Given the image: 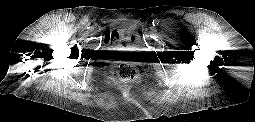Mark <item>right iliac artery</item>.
<instances>
[{"label": "right iliac artery", "mask_w": 255, "mask_h": 122, "mask_svg": "<svg viewBox=\"0 0 255 122\" xmlns=\"http://www.w3.org/2000/svg\"><path fill=\"white\" fill-rule=\"evenodd\" d=\"M85 28H87V29L90 28L88 23L85 24Z\"/></svg>", "instance_id": "right-iliac-artery-1"}]
</instances>
